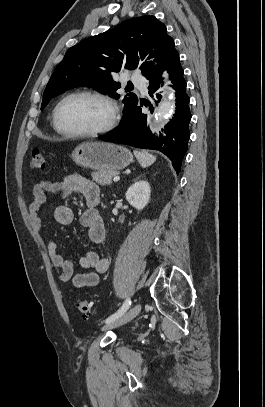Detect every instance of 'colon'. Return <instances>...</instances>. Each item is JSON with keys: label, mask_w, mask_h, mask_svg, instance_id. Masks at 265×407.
Returning a JSON list of instances; mask_svg holds the SVG:
<instances>
[{"label": "colon", "mask_w": 265, "mask_h": 407, "mask_svg": "<svg viewBox=\"0 0 265 407\" xmlns=\"http://www.w3.org/2000/svg\"><path fill=\"white\" fill-rule=\"evenodd\" d=\"M30 166L34 170L43 169L45 166L44 154L40 149H34L31 155ZM76 306L84 318H89L93 315L92 304L86 300L78 299Z\"/></svg>", "instance_id": "5ec220e1"}]
</instances>
